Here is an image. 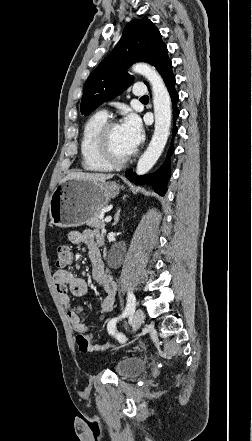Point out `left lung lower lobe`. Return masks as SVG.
<instances>
[{"instance_id": "left-lung-lower-lobe-1", "label": "left lung lower lobe", "mask_w": 252, "mask_h": 441, "mask_svg": "<svg viewBox=\"0 0 252 441\" xmlns=\"http://www.w3.org/2000/svg\"><path fill=\"white\" fill-rule=\"evenodd\" d=\"M156 69L161 74L166 87L169 91L172 105H173V133L172 137L175 136L177 133V128L175 126V120L179 116V110L177 108V101H178V93L175 90V76L172 72V63L171 60L168 57V51L167 48L162 52L158 64L156 66ZM173 144H171L166 160L162 164V166L153 174L150 175H144V176H137L135 173L132 172V170L126 171L125 175L127 179L132 181L135 184L143 185H151L155 192H157L159 195L163 196L166 193V184L170 177V156L173 152Z\"/></svg>"}]
</instances>
